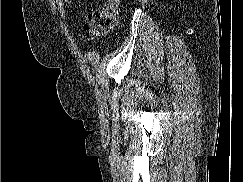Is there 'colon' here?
<instances>
[{
  "mask_svg": "<svg viewBox=\"0 0 243 182\" xmlns=\"http://www.w3.org/2000/svg\"><path fill=\"white\" fill-rule=\"evenodd\" d=\"M120 8V0H106L99 8L91 10L83 27L84 36L93 39L114 28Z\"/></svg>",
  "mask_w": 243,
  "mask_h": 182,
  "instance_id": "5ec220e1",
  "label": "colon"
}]
</instances>
